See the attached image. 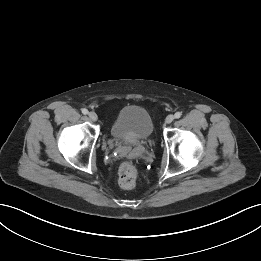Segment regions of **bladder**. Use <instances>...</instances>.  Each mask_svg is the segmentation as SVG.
<instances>
[{
	"instance_id": "1",
	"label": "bladder",
	"mask_w": 261,
	"mask_h": 261,
	"mask_svg": "<svg viewBox=\"0 0 261 261\" xmlns=\"http://www.w3.org/2000/svg\"><path fill=\"white\" fill-rule=\"evenodd\" d=\"M154 125L149 112L137 105L123 107L112 122L110 133L120 142L134 144L148 139Z\"/></svg>"
}]
</instances>
